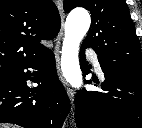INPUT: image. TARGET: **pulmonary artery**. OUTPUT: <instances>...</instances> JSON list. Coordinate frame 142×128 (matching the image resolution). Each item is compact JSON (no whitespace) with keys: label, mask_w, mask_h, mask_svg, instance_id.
I'll list each match as a JSON object with an SVG mask.
<instances>
[{"label":"pulmonary artery","mask_w":142,"mask_h":128,"mask_svg":"<svg viewBox=\"0 0 142 128\" xmlns=\"http://www.w3.org/2000/svg\"><path fill=\"white\" fill-rule=\"evenodd\" d=\"M87 54L91 58L97 72L102 73V70H101V67H100L96 53L93 50L89 49V50H87Z\"/></svg>","instance_id":"pulmonary-artery-1"}]
</instances>
